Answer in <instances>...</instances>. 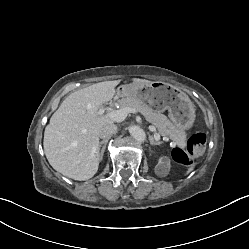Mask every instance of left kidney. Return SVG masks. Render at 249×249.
<instances>
[{"label":"left kidney","instance_id":"left-kidney-1","mask_svg":"<svg viewBox=\"0 0 249 249\" xmlns=\"http://www.w3.org/2000/svg\"><path fill=\"white\" fill-rule=\"evenodd\" d=\"M170 167V160L167 157H161L155 166V173L160 177L166 176L170 171Z\"/></svg>","mask_w":249,"mask_h":249}]
</instances>
